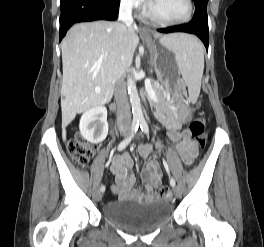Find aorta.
Here are the masks:
<instances>
[{
  "label": "aorta",
  "mask_w": 264,
  "mask_h": 247,
  "mask_svg": "<svg viewBox=\"0 0 264 247\" xmlns=\"http://www.w3.org/2000/svg\"><path fill=\"white\" fill-rule=\"evenodd\" d=\"M127 88L132 106L133 120L141 121L144 119L139 94L136 88L134 77L132 75L127 78Z\"/></svg>",
  "instance_id": "aorta-1"
}]
</instances>
